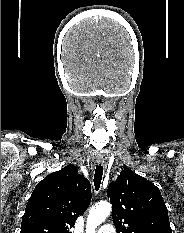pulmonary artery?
<instances>
[{
    "mask_svg": "<svg viewBox=\"0 0 184 233\" xmlns=\"http://www.w3.org/2000/svg\"><path fill=\"white\" fill-rule=\"evenodd\" d=\"M97 233H116V231L111 224H104L97 230Z\"/></svg>",
    "mask_w": 184,
    "mask_h": 233,
    "instance_id": "obj_1",
    "label": "pulmonary artery"
}]
</instances>
